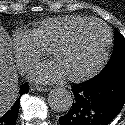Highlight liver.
Listing matches in <instances>:
<instances>
[{"label":"liver","instance_id":"obj_1","mask_svg":"<svg viewBox=\"0 0 125 125\" xmlns=\"http://www.w3.org/2000/svg\"><path fill=\"white\" fill-rule=\"evenodd\" d=\"M10 37L0 26V115L15 100L18 90V75L11 57Z\"/></svg>","mask_w":125,"mask_h":125}]
</instances>
